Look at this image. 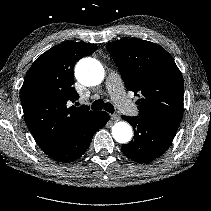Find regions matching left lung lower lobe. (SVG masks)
<instances>
[{
    "label": "left lung lower lobe",
    "instance_id": "0a47b994",
    "mask_svg": "<svg viewBox=\"0 0 211 211\" xmlns=\"http://www.w3.org/2000/svg\"><path fill=\"white\" fill-rule=\"evenodd\" d=\"M134 129V140L121 146L123 154L138 163H148L170 146L181 121L121 116Z\"/></svg>",
    "mask_w": 211,
    "mask_h": 211
}]
</instances>
